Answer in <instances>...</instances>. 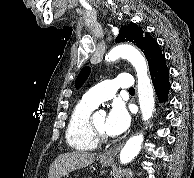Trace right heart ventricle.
<instances>
[{"label": "right heart ventricle", "instance_id": "e07e8e85", "mask_svg": "<svg viewBox=\"0 0 194 178\" xmlns=\"http://www.w3.org/2000/svg\"><path fill=\"white\" fill-rule=\"evenodd\" d=\"M96 106L83 99L73 108L66 128L67 144L75 150H94L98 146L90 124V114Z\"/></svg>", "mask_w": 194, "mask_h": 178}]
</instances>
